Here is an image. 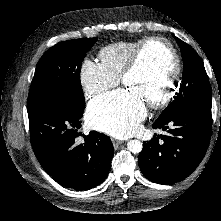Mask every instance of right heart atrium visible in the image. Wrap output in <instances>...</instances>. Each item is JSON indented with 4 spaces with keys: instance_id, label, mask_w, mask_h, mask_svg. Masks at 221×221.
<instances>
[{
    "instance_id": "d8ad5b80",
    "label": "right heart atrium",
    "mask_w": 221,
    "mask_h": 221,
    "mask_svg": "<svg viewBox=\"0 0 221 221\" xmlns=\"http://www.w3.org/2000/svg\"><path fill=\"white\" fill-rule=\"evenodd\" d=\"M80 80L86 96L96 95L116 86L119 79L106 73L101 65L92 60H85L80 70Z\"/></svg>"
}]
</instances>
